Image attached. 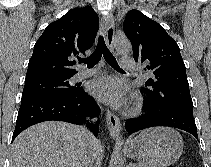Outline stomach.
<instances>
[{
	"instance_id": "0dacf381",
	"label": "stomach",
	"mask_w": 211,
	"mask_h": 167,
	"mask_svg": "<svg viewBox=\"0 0 211 167\" xmlns=\"http://www.w3.org/2000/svg\"><path fill=\"white\" fill-rule=\"evenodd\" d=\"M125 149L131 159L144 167H168L180 158L183 139L171 128H149L130 139Z\"/></svg>"
}]
</instances>
